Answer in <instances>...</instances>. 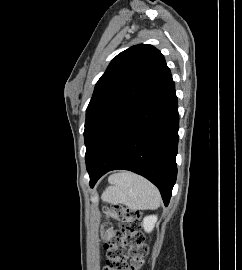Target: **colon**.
Returning a JSON list of instances; mask_svg holds the SVG:
<instances>
[{
    "label": "colon",
    "mask_w": 242,
    "mask_h": 270,
    "mask_svg": "<svg viewBox=\"0 0 242 270\" xmlns=\"http://www.w3.org/2000/svg\"><path fill=\"white\" fill-rule=\"evenodd\" d=\"M105 212L122 222V230L114 231L109 224L103 227L102 238L108 256L103 270H140L148 247L141 232L139 212L121 205L107 208Z\"/></svg>",
    "instance_id": "1"
}]
</instances>
